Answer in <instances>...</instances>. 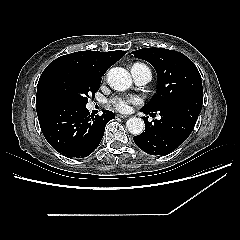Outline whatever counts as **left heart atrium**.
Segmentation results:
<instances>
[{
	"mask_svg": "<svg viewBox=\"0 0 240 240\" xmlns=\"http://www.w3.org/2000/svg\"><path fill=\"white\" fill-rule=\"evenodd\" d=\"M140 101V98L137 96L117 95L111 99V104L120 112H128L131 109V105H136Z\"/></svg>",
	"mask_w": 240,
	"mask_h": 240,
	"instance_id": "39dd6f15",
	"label": "left heart atrium"
}]
</instances>
